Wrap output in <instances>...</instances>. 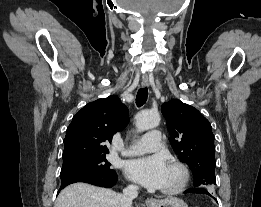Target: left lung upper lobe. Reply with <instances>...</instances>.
I'll list each match as a JSON object with an SVG mask.
<instances>
[{
  "label": "left lung upper lobe",
  "mask_w": 261,
  "mask_h": 207,
  "mask_svg": "<svg viewBox=\"0 0 261 207\" xmlns=\"http://www.w3.org/2000/svg\"><path fill=\"white\" fill-rule=\"evenodd\" d=\"M161 111L175 153L193 172L194 186L215 185V146L209 121L197 109L176 99L162 104Z\"/></svg>",
  "instance_id": "5c2ea615"
}]
</instances>
